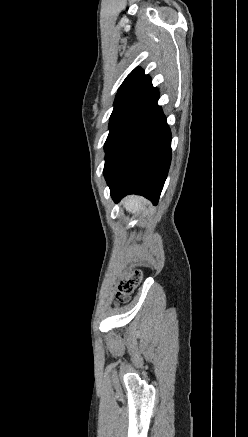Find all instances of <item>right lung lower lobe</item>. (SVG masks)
Returning <instances> with one entry per match:
<instances>
[{
  "label": "right lung lower lobe",
  "instance_id": "1",
  "mask_svg": "<svg viewBox=\"0 0 248 437\" xmlns=\"http://www.w3.org/2000/svg\"><path fill=\"white\" fill-rule=\"evenodd\" d=\"M149 85L106 148L103 174L115 202L139 194L158 203L171 162V132Z\"/></svg>",
  "mask_w": 248,
  "mask_h": 437
}]
</instances>
